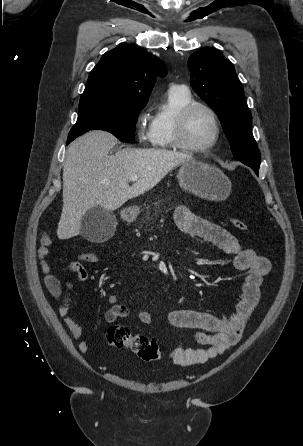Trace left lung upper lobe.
Here are the masks:
<instances>
[{"mask_svg": "<svg viewBox=\"0 0 303 446\" xmlns=\"http://www.w3.org/2000/svg\"><path fill=\"white\" fill-rule=\"evenodd\" d=\"M194 91L217 113L234 157L258 174L260 152L251 131L252 115L233 64L211 48L188 60Z\"/></svg>", "mask_w": 303, "mask_h": 446, "instance_id": "1", "label": "left lung upper lobe"}]
</instances>
